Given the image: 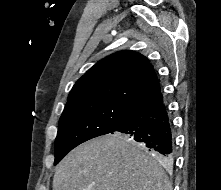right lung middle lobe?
<instances>
[{"label": "right lung middle lobe", "mask_w": 221, "mask_h": 190, "mask_svg": "<svg viewBox=\"0 0 221 190\" xmlns=\"http://www.w3.org/2000/svg\"><path fill=\"white\" fill-rule=\"evenodd\" d=\"M133 108L114 101L90 102L65 107L59 119L54 164L79 144L113 132Z\"/></svg>", "instance_id": "1"}]
</instances>
